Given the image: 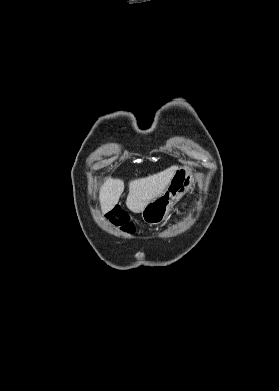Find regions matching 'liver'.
<instances>
[{
  "mask_svg": "<svg viewBox=\"0 0 279 391\" xmlns=\"http://www.w3.org/2000/svg\"><path fill=\"white\" fill-rule=\"evenodd\" d=\"M178 167L172 166L162 172L129 182V193L126 205L134 213H140L146 205L159 196L169 185ZM124 191V183L120 179L109 178L100 191V205L103 212H108L118 203Z\"/></svg>",
  "mask_w": 279,
  "mask_h": 391,
  "instance_id": "liver-1",
  "label": "liver"
}]
</instances>
